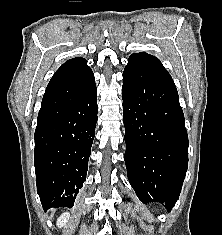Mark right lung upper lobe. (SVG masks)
Wrapping results in <instances>:
<instances>
[{"label": "right lung upper lobe", "mask_w": 222, "mask_h": 235, "mask_svg": "<svg viewBox=\"0 0 222 235\" xmlns=\"http://www.w3.org/2000/svg\"><path fill=\"white\" fill-rule=\"evenodd\" d=\"M87 70H90V67L87 65V61L84 58H72L61 65L53 75L52 79L76 75Z\"/></svg>", "instance_id": "right-lung-upper-lobe-1"}]
</instances>
